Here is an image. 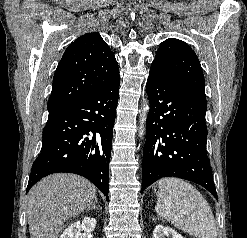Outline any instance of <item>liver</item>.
Listing matches in <instances>:
<instances>
[{
	"label": "liver",
	"instance_id": "1",
	"mask_svg": "<svg viewBox=\"0 0 247 238\" xmlns=\"http://www.w3.org/2000/svg\"><path fill=\"white\" fill-rule=\"evenodd\" d=\"M95 187L74 174L50 175L29 192L28 224L31 238H58L64 222L89 207Z\"/></svg>",
	"mask_w": 247,
	"mask_h": 238
}]
</instances>
